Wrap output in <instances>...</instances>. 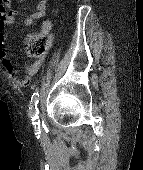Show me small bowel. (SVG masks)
<instances>
[{"instance_id":"small-bowel-1","label":"small bowel","mask_w":143,"mask_h":170,"mask_svg":"<svg viewBox=\"0 0 143 170\" xmlns=\"http://www.w3.org/2000/svg\"><path fill=\"white\" fill-rule=\"evenodd\" d=\"M47 10L46 0H41L36 3L35 8L32 12L24 15H19V22L25 26H34L38 19H41ZM16 15L10 14L4 20L0 21V61L9 75L15 80L18 87H25L28 85L31 77H33L41 68L44 58H39L36 61L29 63L25 67V76L18 79V70L15 68L11 62L7 52L5 51L3 45L6 39L5 27L12 25L16 21ZM41 34H46L51 29L50 21H44L38 27Z\"/></svg>"}]
</instances>
